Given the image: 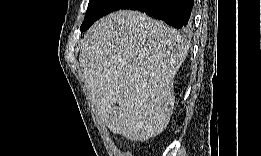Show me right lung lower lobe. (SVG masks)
Masks as SVG:
<instances>
[{
  "label": "right lung lower lobe",
  "mask_w": 261,
  "mask_h": 156,
  "mask_svg": "<svg viewBox=\"0 0 261 156\" xmlns=\"http://www.w3.org/2000/svg\"><path fill=\"white\" fill-rule=\"evenodd\" d=\"M193 6L194 0H130L121 9L141 11L174 28L187 29L191 23Z\"/></svg>",
  "instance_id": "98d812e1"
}]
</instances>
